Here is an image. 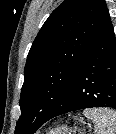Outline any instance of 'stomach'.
Instances as JSON below:
<instances>
[{
	"label": "stomach",
	"instance_id": "0dacf381",
	"mask_svg": "<svg viewBox=\"0 0 116 134\" xmlns=\"http://www.w3.org/2000/svg\"><path fill=\"white\" fill-rule=\"evenodd\" d=\"M48 134H70V133L68 132L66 127L62 126L54 130H51Z\"/></svg>",
	"mask_w": 116,
	"mask_h": 134
}]
</instances>
